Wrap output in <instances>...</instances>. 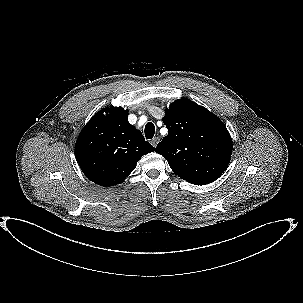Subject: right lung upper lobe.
<instances>
[{"instance_id": "1", "label": "right lung upper lobe", "mask_w": 303, "mask_h": 303, "mask_svg": "<svg viewBox=\"0 0 303 303\" xmlns=\"http://www.w3.org/2000/svg\"><path fill=\"white\" fill-rule=\"evenodd\" d=\"M97 112L82 129L75 152L86 177L100 186L122 183L140 158L154 151L142 133L128 122V111L111 107Z\"/></svg>"}]
</instances>
